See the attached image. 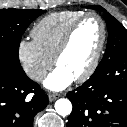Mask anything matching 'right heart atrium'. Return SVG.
<instances>
[{"mask_svg": "<svg viewBox=\"0 0 127 127\" xmlns=\"http://www.w3.org/2000/svg\"><path fill=\"white\" fill-rule=\"evenodd\" d=\"M17 54L23 70L35 82H40L53 65L52 58L45 55L34 40L21 39Z\"/></svg>", "mask_w": 127, "mask_h": 127, "instance_id": "right-heart-atrium-1", "label": "right heart atrium"}]
</instances>
